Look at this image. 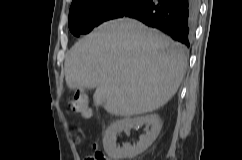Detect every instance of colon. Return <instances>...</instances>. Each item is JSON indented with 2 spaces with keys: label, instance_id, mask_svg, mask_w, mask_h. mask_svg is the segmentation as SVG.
I'll use <instances>...</instances> for the list:
<instances>
[{
  "label": "colon",
  "instance_id": "colon-1",
  "mask_svg": "<svg viewBox=\"0 0 242 160\" xmlns=\"http://www.w3.org/2000/svg\"><path fill=\"white\" fill-rule=\"evenodd\" d=\"M67 107L71 113L81 115L85 118L90 117V107L83 93L76 92L73 94L68 100ZM88 160H107V158L101 152H96L94 157H89Z\"/></svg>",
  "mask_w": 242,
  "mask_h": 160
}]
</instances>
